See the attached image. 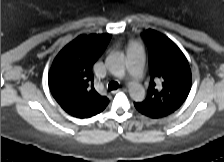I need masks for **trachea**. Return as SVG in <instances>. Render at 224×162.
Returning <instances> with one entry per match:
<instances>
[{"mask_svg": "<svg viewBox=\"0 0 224 162\" xmlns=\"http://www.w3.org/2000/svg\"><path fill=\"white\" fill-rule=\"evenodd\" d=\"M119 88V84L118 82H115V81H111L109 84H108V90L109 91H112V90H116Z\"/></svg>", "mask_w": 224, "mask_h": 162, "instance_id": "1", "label": "trachea"}]
</instances>
